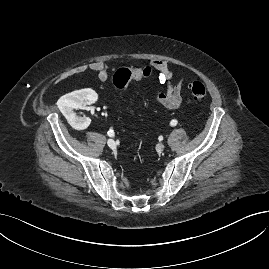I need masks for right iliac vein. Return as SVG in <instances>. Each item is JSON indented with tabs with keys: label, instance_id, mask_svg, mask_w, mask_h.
Instances as JSON below:
<instances>
[{
	"label": "right iliac vein",
	"instance_id": "63e3f726",
	"mask_svg": "<svg viewBox=\"0 0 269 269\" xmlns=\"http://www.w3.org/2000/svg\"><path fill=\"white\" fill-rule=\"evenodd\" d=\"M107 144H108V146H109L111 149H115V148H116V143H115V141H114L113 139H109V140L107 141Z\"/></svg>",
	"mask_w": 269,
	"mask_h": 269
}]
</instances>
